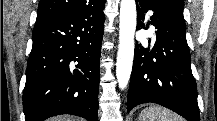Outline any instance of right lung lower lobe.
<instances>
[{"label": "right lung lower lobe", "mask_w": 217, "mask_h": 121, "mask_svg": "<svg viewBox=\"0 0 217 121\" xmlns=\"http://www.w3.org/2000/svg\"><path fill=\"white\" fill-rule=\"evenodd\" d=\"M105 0L37 19L23 92L25 121L72 114L98 118Z\"/></svg>", "instance_id": "right-lung-lower-lobe-1"}]
</instances>
